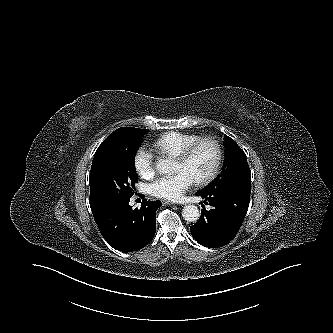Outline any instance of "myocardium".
Returning a JSON list of instances; mask_svg holds the SVG:
<instances>
[{
  "label": "myocardium",
  "mask_w": 333,
  "mask_h": 333,
  "mask_svg": "<svg viewBox=\"0 0 333 333\" xmlns=\"http://www.w3.org/2000/svg\"><path fill=\"white\" fill-rule=\"evenodd\" d=\"M203 143H210L214 146L215 151H216V159H215V163H214L213 168L210 171V173L206 177L195 181V183L200 186L210 184L212 181L215 180V178L218 176V174L220 172L222 162H223V150H222V146L219 143V141L213 137L199 138L198 140L194 141L189 146H187L185 148V150L178 157H176V160H178L180 162L188 161L193 156V154L195 153L197 148Z\"/></svg>",
  "instance_id": "f54148a6"
}]
</instances>
